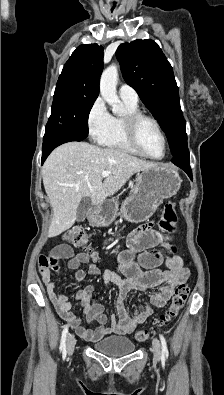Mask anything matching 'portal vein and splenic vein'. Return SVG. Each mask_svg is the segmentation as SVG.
<instances>
[{
  "label": "portal vein and splenic vein",
  "mask_w": 224,
  "mask_h": 395,
  "mask_svg": "<svg viewBox=\"0 0 224 395\" xmlns=\"http://www.w3.org/2000/svg\"><path fill=\"white\" fill-rule=\"evenodd\" d=\"M109 174H110V172H108V171H103L101 175H102L103 178H105V177H107Z\"/></svg>",
  "instance_id": "1"
}]
</instances>
